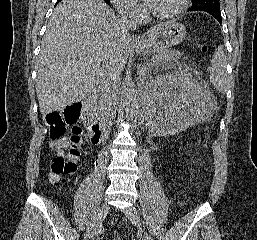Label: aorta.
<instances>
[{
    "label": "aorta",
    "instance_id": "1",
    "mask_svg": "<svg viewBox=\"0 0 257 240\" xmlns=\"http://www.w3.org/2000/svg\"><path fill=\"white\" fill-rule=\"evenodd\" d=\"M125 112L128 120H132L137 115L138 101L137 91L133 87L132 81L129 80L125 84Z\"/></svg>",
    "mask_w": 257,
    "mask_h": 240
}]
</instances>
